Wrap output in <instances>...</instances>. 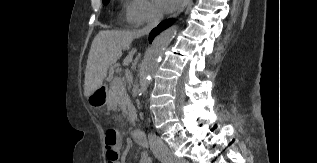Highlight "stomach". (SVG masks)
<instances>
[{"mask_svg":"<svg viewBox=\"0 0 317 163\" xmlns=\"http://www.w3.org/2000/svg\"><path fill=\"white\" fill-rule=\"evenodd\" d=\"M88 104L92 108H101L108 104V93L105 87L96 89L89 97Z\"/></svg>","mask_w":317,"mask_h":163,"instance_id":"obj_1","label":"stomach"}]
</instances>
